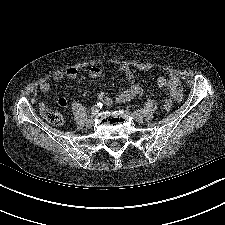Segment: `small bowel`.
<instances>
[{"label": "small bowel", "instance_id": "small-bowel-1", "mask_svg": "<svg viewBox=\"0 0 225 225\" xmlns=\"http://www.w3.org/2000/svg\"><path fill=\"white\" fill-rule=\"evenodd\" d=\"M120 71L125 74V76L129 79H132L134 77V72L133 70L128 66V65H122L120 66ZM89 77L93 79H98L102 75V71L100 67L98 66H92L90 67L88 71ZM78 76V69L75 67H69L66 70H58L55 71L52 75V79L54 81H61L65 77L69 79H75ZM157 85L160 88L168 87L171 95L175 100H180L182 98V88H181V83L179 79L171 75L170 77L166 78L164 76H159L157 78ZM39 89L40 91L46 93L49 92L51 89V84L48 80H42L39 84ZM142 88L138 84H133L123 90H121L117 96H116V101L117 102H128L135 98L136 96H139L142 94ZM98 99L99 101L106 105V106H111L113 104V99L105 92H99L98 93ZM58 104L62 107H65L67 104L66 98H60L58 100ZM40 110L42 112H45L47 110V106L45 103H40Z\"/></svg>", "mask_w": 225, "mask_h": 225}]
</instances>
